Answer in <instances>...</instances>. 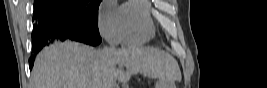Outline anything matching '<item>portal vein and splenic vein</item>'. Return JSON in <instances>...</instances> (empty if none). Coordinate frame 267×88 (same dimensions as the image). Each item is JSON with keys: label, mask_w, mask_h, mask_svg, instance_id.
Segmentation results:
<instances>
[{"label": "portal vein and splenic vein", "mask_w": 267, "mask_h": 88, "mask_svg": "<svg viewBox=\"0 0 267 88\" xmlns=\"http://www.w3.org/2000/svg\"><path fill=\"white\" fill-rule=\"evenodd\" d=\"M114 88H118V86L115 85Z\"/></svg>", "instance_id": "obj_1"}]
</instances>
